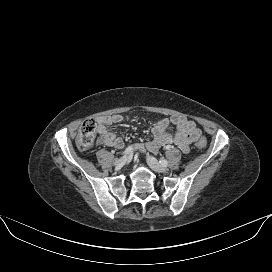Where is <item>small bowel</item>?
<instances>
[{
	"mask_svg": "<svg viewBox=\"0 0 272 272\" xmlns=\"http://www.w3.org/2000/svg\"><path fill=\"white\" fill-rule=\"evenodd\" d=\"M122 120L123 117L120 114L99 117L97 119L99 132L98 143L116 149L123 148V139L108 129L109 126L118 124ZM170 124L176 128L174 133L168 131ZM152 134L153 138L151 141L145 144H136L135 148L143 153L147 150L152 153H157L163 146L176 145L183 153H188L190 144L197 141L201 137L202 132L195 122L186 117L174 115L170 119H159L152 128Z\"/></svg>",
	"mask_w": 272,
	"mask_h": 272,
	"instance_id": "c3829d8e",
	"label": "small bowel"
}]
</instances>
